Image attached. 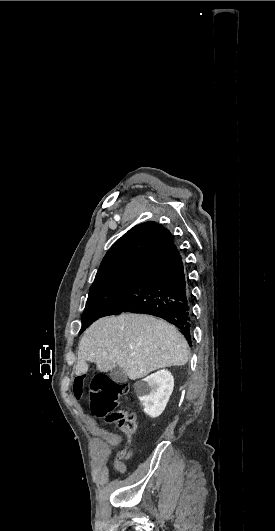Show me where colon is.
I'll return each mask as SVG.
<instances>
[{"label":"colon","mask_w":275,"mask_h":531,"mask_svg":"<svg viewBox=\"0 0 275 531\" xmlns=\"http://www.w3.org/2000/svg\"><path fill=\"white\" fill-rule=\"evenodd\" d=\"M89 391L90 411L93 416L105 418L108 424L117 425L120 431L130 437L135 429L136 413L119 408V400L130 391L129 384L108 377L105 373H97L92 378L88 390V376L80 374L76 379L68 381V392L72 394V399L80 401L83 394ZM125 450L119 452V458L126 457ZM119 471L124 472L122 463H117Z\"/></svg>","instance_id":"obj_1"}]
</instances>
